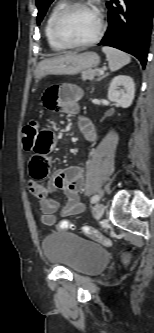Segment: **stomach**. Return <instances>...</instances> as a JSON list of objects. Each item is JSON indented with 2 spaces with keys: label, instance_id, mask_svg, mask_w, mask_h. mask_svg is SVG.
I'll return each mask as SVG.
<instances>
[{
  "label": "stomach",
  "instance_id": "1",
  "mask_svg": "<svg viewBox=\"0 0 154 333\" xmlns=\"http://www.w3.org/2000/svg\"><path fill=\"white\" fill-rule=\"evenodd\" d=\"M99 63L100 57L95 52L70 53L41 61L36 66L34 75L36 78H43L47 75H75L85 70H91Z\"/></svg>",
  "mask_w": 154,
  "mask_h": 333
}]
</instances>
